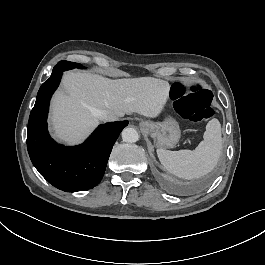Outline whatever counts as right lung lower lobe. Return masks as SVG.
Here are the masks:
<instances>
[{
	"label": "right lung lower lobe",
	"mask_w": 265,
	"mask_h": 265,
	"mask_svg": "<svg viewBox=\"0 0 265 265\" xmlns=\"http://www.w3.org/2000/svg\"><path fill=\"white\" fill-rule=\"evenodd\" d=\"M64 67L53 70L38 91L28 121L27 148L38 172L53 186L65 192L93 188L102 179L113 144L128 121L100 125L81 145L64 147L47 131V114L52 94L58 87Z\"/></svg>",
	"instance_id": "right-lung-lower-lobe-1"
}]
</instances>
